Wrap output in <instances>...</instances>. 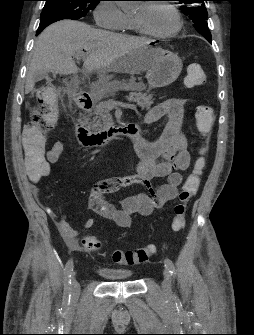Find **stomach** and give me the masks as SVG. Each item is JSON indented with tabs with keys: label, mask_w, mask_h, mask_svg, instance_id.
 I'll return each instance as SVG.
<instances>
[{
	"label": "stomach",
	"mask_w": 254,
	"mask_h": 335,
	"mask_svg": "<svg viewBox=\"0 0 254 335\" xmlns=\"http://www.w3.org/2000/svg\"><path fill=\"white\" fill-rule=\"evenodd\" d=\"M153 64L146 72L150 88H162L172 84L179 77L183 63L180 57L162 48L149 49Z\"/></svg>",
	"instance_id": "0dacf381"
}]
</instances>
